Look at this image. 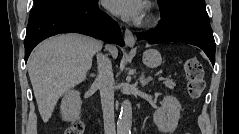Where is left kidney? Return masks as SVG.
<instances>
[{"label": "left kidney", "mask_w": 239, "mask_h": 134, "mask_svg": "<svg viewBox=\"0 0 239 134\" xmlns=\"http://www.w3.org/2000/svg\"><path fill=\"white\" fill-rule=\"evenodd\" d=\"M180 102L174 96H165L162 106L153 115V120L158 130L163 134H172L180 119Z\"/></svg>", "instance_id": "1"}]
</instances>
